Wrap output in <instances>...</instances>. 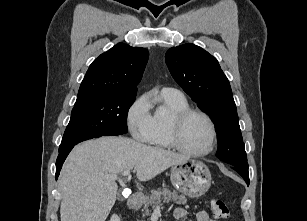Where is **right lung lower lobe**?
Returning a JSON list of instances; mask_svg holds the SVG:
<instances>
[{"instance_id":"1","label":"right lung lower lobe","mask_w":307,"mask_h":221,"mask_svg":"<svg viewBox=\"0 0 307 221\" xmlns=\"http://www.w3.org/2000/svg\"><path fill=\"white\" fill-rule=\"evenodd\" d=\"M73 147L66 149V150H63V151H59V155H58V158H57V161H56V179L59 176V172L62 168V165H63L66 157L68 156L69 152L72 150Z\"/></svg>"}]
</instances>
